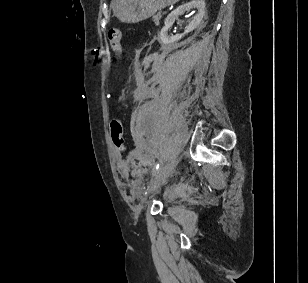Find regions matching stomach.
<instances>
[{
    "instance_id": "obj_1",
    "label": "stomach",
    "mask_w": 308,
    "mask_h": 283,
    "mask_svg": "<svg viewBox=\"0 0 308 283\" xmlns=\"http://www.w3.org/2000/svg\"><path fill=\"white\" fill-rule=\"evenodd\" d=\"M179 0H113L114 15L124 23H138Z\"/></svg>"
}]
</instances>
